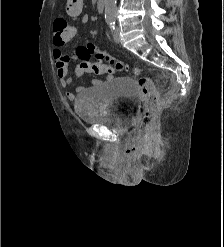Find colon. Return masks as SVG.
Returning <instances> with one entry per match:
<instances>
[{"instance_id":"5ec220e1","label":"colon","mask_w":224,"mask_h":247,"mask_svg":"<svg viewBox=\"0 0 224 247\" xmlns=\"http://www.w3.org/2000/svg\"><path fill=\"white\" fill-rule=\"evenodd\" d=\"M76 35V28L64 17H57L53 22V38L61 42H68ZM95 56L96 60L91 61ZM74 60L77 61V68L80 71L101 74H115L124 70H132L138 76V88L143 103V111L138 123V130L144 131L152 122L156 114L158 105V92L153 81L144 76H140L138 68H130L121 62L115 61L109 54L101 51L96 46L89 44L76 49Z\"/></svg>"}]
</instances>
